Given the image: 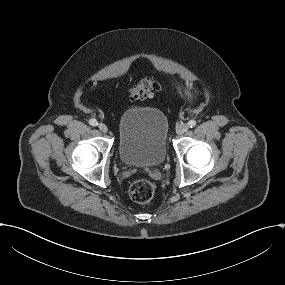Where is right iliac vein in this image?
<instances>
[{"label":"right iliac vein","instance_id":"1","mask_svg":"<svg viewBox=\"0 0 285 285\" xmlns=\"http://www.w3.org/2000/svg\"><path fill=\"white\" fill-rule=\"evenodd\" d=\"M98 129H99L101 132H103V133H106V132L108 131V127H107V125L104 124V123L98 124Z\"/></svg>","mask_w":285,"mask_h":285}]
</instances>
